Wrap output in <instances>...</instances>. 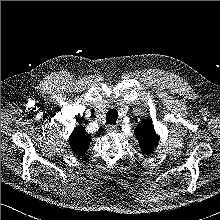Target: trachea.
<instances>
[{
  "instance_id": "obj_1",
  "label": "trachea",
  "mask_w": 220,
  "mask_h": 220,
  "mask_svg": "<svg viewBox=\"0 0 220 220\" xmlns=\"http://www.w3.org/2000/svg\"><path fill=\"white\" fill-rule=\"evenodd\" d=\"M118 118V112L115 109H110L106 113V124H115Z\"/></svg>"
}]
</instances>
